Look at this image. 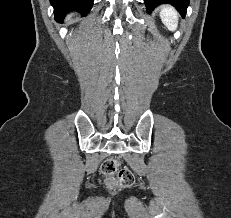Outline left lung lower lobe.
<instances>
[{"label": "left lung lower lobe", "mask_w": 231, "mask_h": 218, "mask_svg": "<svg viewBox=\"0 0 231 218\" xmlns=\"http://www.w3.org/2000/svg\"><path fill=\"white\" fill-rule=\"evenodd\" d=\"M146 8L151 12L156 6L162 3H169L176 7L182 16L185 15L189 0H144Z\"/></svg>", "instance_id": "obj_1"}]
</instances>
